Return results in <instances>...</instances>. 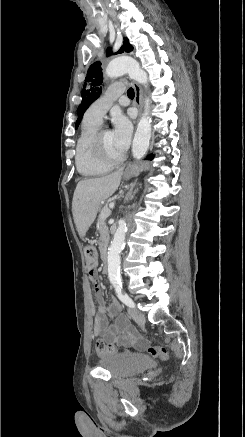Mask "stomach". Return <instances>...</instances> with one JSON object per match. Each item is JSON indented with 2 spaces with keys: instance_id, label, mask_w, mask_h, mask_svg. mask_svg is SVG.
Here are the masks:
<instances>
[{
  "instance_id": "stomach-1",
  "label": "stomach",
  "mask_w": 245,
  "mask_h": 437,
  "mask_svg": "<svg viewBox=\"0 0 245 437\" xmlns=\"http://www.w3.org/2000/svg\"><path fill=\"white\" fill-rule=\"evenodd\" d=\"M144 168H146V166L142 165V166H138V165H132L129 166L125 172L123 173V178L125 180H128L132 177L137 176L141 170H143Z\"/></svg>"
}]
</instances>
